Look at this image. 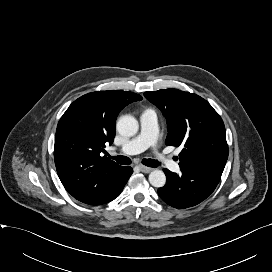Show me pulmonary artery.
I'll list each match as a JSON object with an SVG mask.
<instances>
[{
    "mask_svg": "<svg viewBox=\"0 0 272 272\" xmlns=\"http://www.w3.org/2000/svg\"><path fill=\"white\" fill-rule=\"evenodd\" d=\"M158 136V119L153 109H146L140 115V132L137 136L123 144L119 151L126 155L140 153L155 147ZM158 162L173 172H179L180 166L168 156L155 151Z\"/></svg>",
    "mask_w": 272,
    "mask_h": 272,
    "instance_id": "obj_1",
    "label": "pulmonary artery"
}]
</instances>
